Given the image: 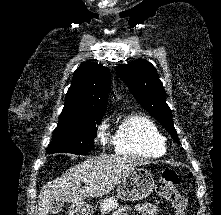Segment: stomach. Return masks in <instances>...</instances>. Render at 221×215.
Listing matches in <instances>:
<instances>
[{
    "mask_svg": "<svg viewBox=\"0 0 221 215\" xmlns=\"http://www.w3.org/2000/svg\"><path fill=\"white\" fill-rule=\"evenodd\" d=\"M154 187L152 174L143 168H135L118 184L117 196L124 201H139L148 197ZM70 215H92V208L83 202L71 206Z\"/></svg>",
    "mask_w": 221,
    "mask_h": 215,
    "instance_id": "1",
    "label": "stomach"
}]
</instances>
